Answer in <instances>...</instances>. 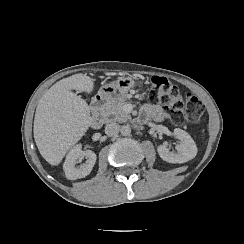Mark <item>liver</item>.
<instances>
[{"mask_svg": "<svg viewBox=\"0 0 244 244\" xmlns=\"http://www.w3.org/2000/svg\"><path fill=\"white\" fill-rule=\"evenodd\" d=\"M94 77L76 73L54 83L40 98L34 116V141L42 158L59 166L86 135L94 120L85 100L73 91L92 95Z\"/></svg>", "mask_w": 244, "mask_h": 244, "instance_id": "1", "label": "liver"}]
</instances>
